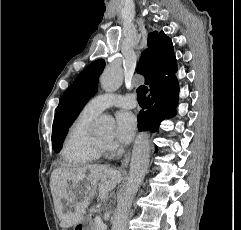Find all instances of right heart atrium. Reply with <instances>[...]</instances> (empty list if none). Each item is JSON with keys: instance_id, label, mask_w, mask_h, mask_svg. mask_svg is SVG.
Here are the masks:
<instances>
[{"instance_id": "right-heart-atrium-1", "label": "right heart atrium", "mask_w": 241, "mask_h": 230, "mask_svg": "<svg viewBox=\"0 0 241 230\" xmlns=\"http://www.w3.org/2000/svg\"><path fill=\"white\" fill-rule=\"evenodd\" d=\"M102 149L106 152H115L118 150V146L113 142H105L102 144Z\"/></svg>"}]
</instances>
